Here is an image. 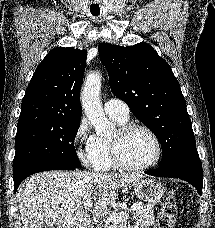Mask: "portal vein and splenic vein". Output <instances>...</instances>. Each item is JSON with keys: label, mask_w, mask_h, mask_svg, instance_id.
Segmentation results:
<instances>
[{"label": "portal vein and splenic vein", "mask_w": 215, "mask_h": 228, "mask_svg": "<svg viewBox=\"0 0 215 228\" xmlns=\"http://www.w3.org/2000/svg\"><path fill=\"white\" fill-rule=\"evenodd\" d=\"M84 210H91L93 204L89 202V204H83ZM132 210H141L140 204H133ZM129 212H124V214H112L109 220H117V222H123V220H128Z\"/></svg>", "instance_id": "obj_1"}]
</instances>
